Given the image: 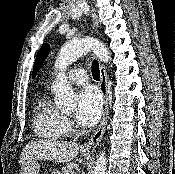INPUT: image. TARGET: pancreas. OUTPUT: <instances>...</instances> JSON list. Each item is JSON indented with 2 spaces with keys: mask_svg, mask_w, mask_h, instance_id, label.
<instances>
[{
  "mask_svg": "<svg viewBox=\"0 0 175 174\" xmlns=\"http://www.w3.org/2000/svg\"><path fill=\"white\" fill-rule=\"evenodd\" d=\"M57 170H54L52 174H58L56 173ZM62 174H75L74 173V165L72 163L66 165L65 167L62 168Z\"/></svg>",
  "mask_w": 175,
  "mask_h": 174,
  "instance_id": "1",
  "label": "pancreas"
}]
</instances>
